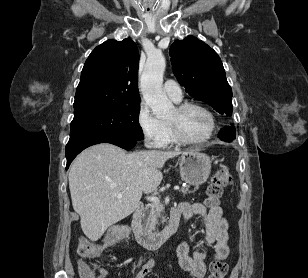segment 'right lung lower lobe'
Returning a JSON list of instances; mask_svg holds the SVG:
<instances>
[{
    "label": "right lung lower lobe",
    "instance_id": "98d812e1",
    "mask_svg": "<svg viewBox=\"0 0 308 278\" xmlns=\"http://www.w3.org/2000/svg\"><path fill=\"white\" fill-rule=\"evenodd\" d=\"M135 139L122 137V136H106V135H90V136H81L76 138L69 139V142L66 145V158H67V166L68 169L72 160L85 148L106 142L117 145L123 149L129 150L133 148L136 144Z\"/></svg>",
    "mask_w": 308,
    "mask_h": 278
}]
</instances>
